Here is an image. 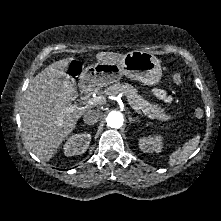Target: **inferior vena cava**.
<instances>
[{"mask_svg": "<svg viewBox=\"0 0 221 221\" xmlns=\"http://www.w3.org/2000/svg\"><path fill=\"white\" fill-rule=\"evenodd\" d=\"M100 112L98 110H88L83 115V120L86 124L92 125L98 121Z\"/></svg>", "mask_w": 221, "mask_h": 221, "instance_id": "obj_1", "label": "inferior vena cava"}]
</instances>
